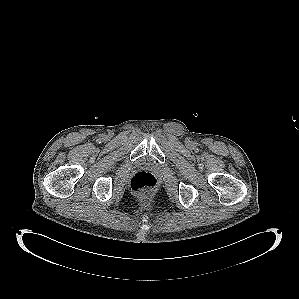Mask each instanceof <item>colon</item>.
Returning <instances> with one entry per match:
<instances>
[{
    "instance_id": "colon-1",
    "label": "colon",
    "mask_w": 299,
    "mask_h": 299,
    "mask_svg": "<svg viewBox=\"0 0 299 299\" xmlns=\"http://www.w3.org/2000/svg\"><path fill=\"white\" fill-rule=\"evenodd\" d=\"M156 186V177L147 171H139L135 173L130 180V187L132 191L140 195L153 191Z\"/></svg>"
}]
</instances>
